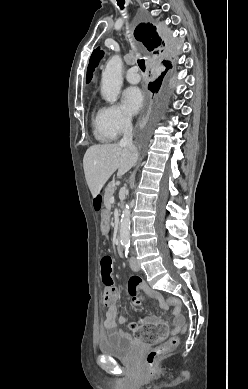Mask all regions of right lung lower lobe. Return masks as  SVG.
<instances>
[{"mask_svg": "<svg viewBox=\"0 0 248 389\" xmlns=\"http://www.w3.org/2000/svg\"><path fill=\"white\" fill-rule=\"evenodd\" d=\"M167 41H168V39H166ZM169 42V41H168ZM162 80V79H161ZM160 80V81H161ZM160 81H158L157 83H151L150 85H149V89H151V91L152 92H154L155 90H156V87H157V85L160 83Z\"/></svg>", "mask_w": 248, "mask_h": 389, "instance_id": "98d812e1", "label": "right lung lower lobe"}]
</instances>
